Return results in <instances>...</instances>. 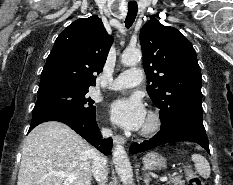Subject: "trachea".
<instances>
[{"label": "trachea", "instance_id": "trachea-1", "mask_svg": "<svg viewBox=\"0 0 233 185\" xmlns=\"http://www.w3.org/2000/svg\"><path fill=\"white\" fill-rule=\"evenodd\" d=\"M138 12L137 3H128V13L125 20V25L127 28L131 27Z\"/></svg>", "mask_w": 233, "mask_h": 185}]
</instances>
